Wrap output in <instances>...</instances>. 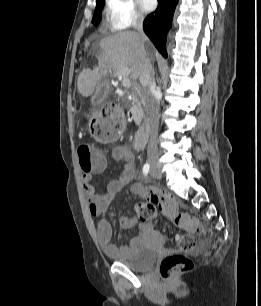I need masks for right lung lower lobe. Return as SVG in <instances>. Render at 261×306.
Masks as SVG:
<instances>
[{
    "label": "right lung lower lobe",
    "mask_w": 261,
    "mask_h": 306,
    "mask_svg": "<svg viewBox=\"0 0 261 306\" xmlns=\"http://www.w3.org/2000/svg\"><path fill=\"white\" fill-rule=\"evenodd\" d=\"M177 2L178 0H158V7L155 12L149 14L143 22L145 33L165 57H167L165 49L166 34L171 27Z\"/></svg>",
    "instance_id": "98d812e1"
}]
</instances>
